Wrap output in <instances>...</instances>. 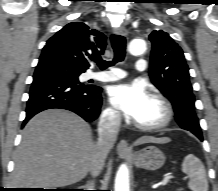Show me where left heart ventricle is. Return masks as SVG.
Returning a JSON list of instances; mask_svg holds the SVG:
<instances>
[{
    "mask_svg": "<svg viewBox=\"0 0 218 191\" xmlns=\"http://www.w3.org/2000/svg\"><path fill=\"white\" fill-rule=\"evenodd\" d=\"M162 117L161 105L150 97L136 121L141 124H152L160 121Z\"/></svg>",
    "mask_w": 218,
    "mask_h": 191,
    "instance_id": "obj_1",
    "label": "left heart ventricle"
}]
</instances>
